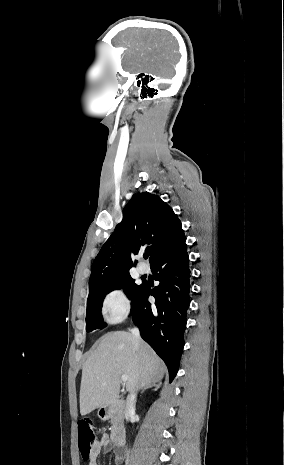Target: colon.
<instances>
[{"label":"colon","mask_w":284,"mask_h":465,"mask_svg":"<svg viewBox=\"0 0 284 465\" xmlns=\"http://www.w3.org/2000/svg\"><path fill=\"white\" fill-rule=\"evenodd\" d=\"M78 438L80 457L87 461L91 457L92 447L96 440L95 431L89 421L78 423Z\"/></svg>","instance_id":"1"}]
</instances>
